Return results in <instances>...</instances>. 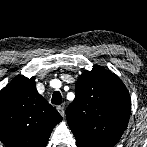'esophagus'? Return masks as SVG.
<instances>
[{
	"mask_svg": "<svg viewBox=\"0 0 147 147\" xmlns=\"http://www.w3.org/2000/svg\"><path fill=\"white\" fill-rule=\"evenodd\" d=\"M56 109H57V111L60 113V115H61L62 117H64V115H65L64 107H63V106H58Z\"/></svg>",
	"mask_w": 147,
	"mask_h": 147,
	"instance_id": "34e87169",
	"label": "esophagus"
}]
</instances>
